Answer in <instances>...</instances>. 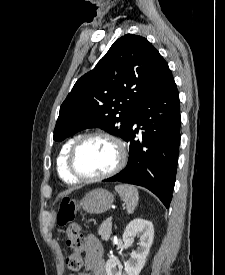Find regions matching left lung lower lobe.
I'll return each instance as SVG.
<instances>
[{
  "label": "left lung lower lobe",
  "mask_w": 225,
  "mask_h": 275,
  "mask_svg": "<svg viewBox=\"0 0 225 275\" xmlns=\"http://www.w3.org/2000/svg\"><path fill=\"white\" fill-rule=\"evenodd\" d=\"M179 107V93L170 71L145 99L126 133L124 140L129 143L126 167L104 182L143 186L169 208L180 144ZM139 129L142 133L137 138Z\"/></svg>",
  "instance_id": "obj_1"
}]
</instances>
